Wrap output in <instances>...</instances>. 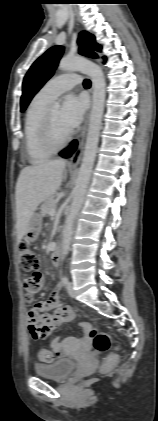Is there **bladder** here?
Returning a JSON list of instances; mask_svg holds the SVG:
<instances>
[{
  "mask_svg": "<svg viewBox=\"0 0 158 421\" xmlns=\"http://www.w3.org/2000/svg\"><path fill=\"white\" fill-rule=\"evenodd\" d=\"M74 369L75 362L70 358H61L51 363L34 366V372L37 376L54 380L65 379Z\"/></svg>",
  "mask_w": 158,
  "mask_h": 421,
  "instance_id": "obj_1",
  "label": "bladder"
}]
</instances>
